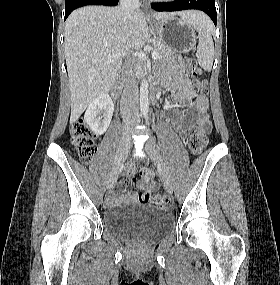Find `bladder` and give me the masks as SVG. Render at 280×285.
<instances>
[{"label":"bladder","instance_id":"1","mask_svg":"<svg viewBox=\"0 0 280 285\" xmlns=\"http://www.w3.org/2000/svg\"><path fill=\"white\" fill-rule=\"evenodd\" d=\"M103 222L116 235L149 240L168 231L173 217L152 205H122L104 211Z\"/></svg>","mask_w":280,"mask_h":285}]
</instances>
